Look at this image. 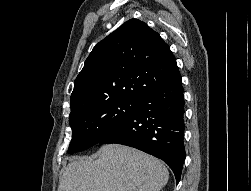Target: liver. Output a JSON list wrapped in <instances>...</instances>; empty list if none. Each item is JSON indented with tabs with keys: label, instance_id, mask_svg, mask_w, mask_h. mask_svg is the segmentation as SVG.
I'll use <instances>...</instances> for the list:
<instances>
[{
	"label": "liver",
	"instance_id": "obj_1",
	"mask_svg": "<svg viewBox=\"0 0 251 191\" xmlns=\"http://www.w3.org/2000/svg\"><path fill=\"white\" fill-rule=\"evenodd\" d=\"M96 155L72 159L58 191H160L169 179L161 159L134 147L109 143Z\"/></svg>",
	"mask_w": 251,
	"mask_h": 191
}]
</instances>
